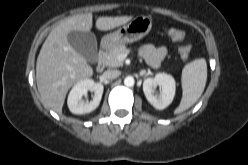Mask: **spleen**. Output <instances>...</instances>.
Instances as JSON below:
<instances>
[{
    "instance_id": "obj_1",
    "label": "spleen",
    "mask_w": 248,
    "mask_h": 165,
    "mask_svg": "<svg viewBox=\"0 0 248 165\" xmlns=\"http://www.w3.org/2000/svg\"><path fill=\"white\" fill-rule=\"evenodd\" d=\"M207 81V63L204 58L196 59L185 65L182 71L183 95L174 114L189 109L202 95Z\"/></svg>"
}]
</instances>
